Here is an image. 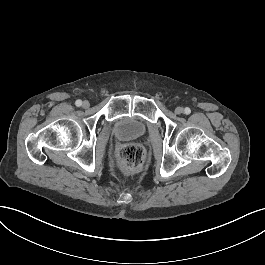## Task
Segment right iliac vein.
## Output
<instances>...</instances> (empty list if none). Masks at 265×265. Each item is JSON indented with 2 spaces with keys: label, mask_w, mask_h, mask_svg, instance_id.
<instances>
[{
  "label": "right iliac vein",
  "mask_w": 265,
  "mask_h": 265,
  "mask_svg": "<svg viewBox=\"0 0 265 265\" xmlns=\"http://www.w3.org/2000/svg\"><path fill=\"white\" fill-rule=\"evenodd\" d=\"M89 105H90V104H89L88 101H84L83 104H82V106H83L84 108H88Z\"/></svg>",
  "instance_id": "1"
}]
</instances>
